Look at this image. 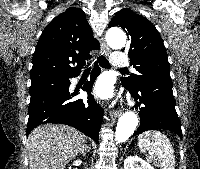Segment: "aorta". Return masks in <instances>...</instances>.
Wrapping results in <instances>:
<instances>
[{
	"label": "aorta",
	"instance_id": "762f6f07",
	"mask_svg": "<svg viewBox=\"0 0 200 169\" xmlns=\"http://www.w3.org/2000/svg\"><path fill=\"white\" fill-rule=\"evenodd\" d=\"M106 41L113 49H122L126 44V36L121 30H109L106 34ZM139 124L137 115L132 112H125L117 123L115 139L118 143L128 140Z\"/></svg>",
	"mask_w": 200,
	"mask_h": 169
}]
</instances>
